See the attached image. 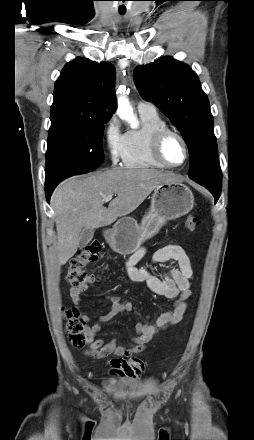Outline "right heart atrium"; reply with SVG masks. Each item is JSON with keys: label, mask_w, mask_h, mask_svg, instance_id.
<instances>
[{"label": "right heart atrium", "mask_w": 254, "mask_h": 440, "mask_svg": "<svg viewBox=\"0 0 254 440\" xmlns=\"http://www.w3.org/2000/svg\"><path fill=\"white\" fill-rule=\"evenodd\" d=\"M126 133L121 128L115 115L109 117L104 128V140L112 163L117 164L123 159Z\"/></svg>", "instance_id": "right-heart-atrium-1"}]
</instances>
